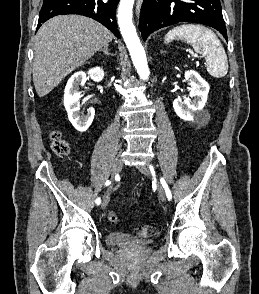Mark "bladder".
I'll use <instances>...</instances> for the list:
<instances>
[{
  "instance_id": "obj_1",
  "label": "bladder",
  "mask_w": 259,
  "mask_h": 294,
  "mask_svg": "<svg viewBox=\"0 0 259 294\" xmlns=\"http://www.w3.org/2000/svg\"><path fill=\"white\" fill-rule=\"evenodd\" d=\"M106 242L109 246H143L150 242V240L145 238H139L132 236L130 234L122 232H111L106 236Z\"/></svg>"
}]
</instances>
